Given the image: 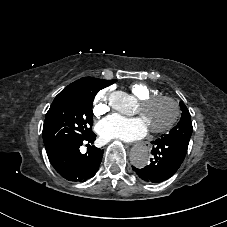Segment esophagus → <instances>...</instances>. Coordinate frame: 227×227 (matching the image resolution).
<instances>
[{
    "label": "esophagus",
    "mask_w": 227,
    "mask_h": 227,
    "mask_svg": "<svg viewBox=\"0 0 227 227\" xmlns=\"http://www.w3.org/2000/svg\"><path fill=\"white\" fill-rule=\"evenodd\" d=\"M137 149L138 150L145 149L146 151H150L152 149V141L150 139H145L144 141L139 140L137 142Z\"/></svg>",
    "instance_id": "34e87169"
}]
</instances>
